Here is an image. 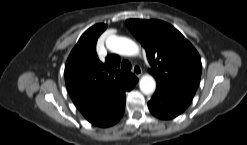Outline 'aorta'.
<instances>
[{
  "label": "aorta",
  "instance_id": "aorta-1",
  "mask_svg": "<svg viewBox=\"0 0 247 145\" xmlns=\"http://www.w3.org/2000/svg\"><path fill=\"white\" fill-rule=\"evenodd\" d=\"M107 46L112 52L123 56H134L139 53L138 45L126 37L111 36L107 39ZM139 87L145 95L152 94L156 89V81L153 76L144 75L139 81Z\"/></svg>",
  "mask_w": 247,
  "mask_h": 145
}]
</instances>
